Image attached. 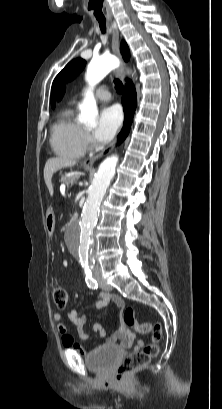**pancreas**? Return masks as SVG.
<instances>
[{"mask_svg": "<svg viewBox=\"0 0 222 409\" xmlns=\"http://www.w3.org/2000/svg\"><path fill=\"white\" fill-rule=\"evenodd\" d=\"M78 179V176H70V177H62L61 182L69 186L70 184H73L76 180Z\"/></svg>", "mask_w": 222, "mask_h": 409, "instance_id": "1", "label": "pancreas"}]
</instances>
